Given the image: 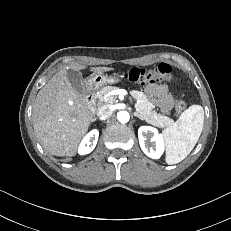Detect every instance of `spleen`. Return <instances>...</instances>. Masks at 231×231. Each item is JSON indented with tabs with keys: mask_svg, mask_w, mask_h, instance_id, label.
<instances>
[{
	"mask_svg": "<svg viewBox=\"0 0 231 231\" xmlns=\"http://www.w3.org/2000/svg\"><path fill=\"white\" fill-rule=\"evenodd\" d=\"M203 125V107L192 105L181 114L176 123L164 130L167 164H177L190 154L202 133Z\"/></svg>",
	"mask_w": 231,
	"mask_h": 231,
	"instance_id": "1",
	"label": "spleen"
}]
</instances>
